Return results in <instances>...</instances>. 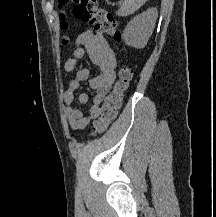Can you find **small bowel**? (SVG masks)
I'll use <instances>...</instances> for the list:
<instances>
[{"mask_svg": "<svg viewBox=\"0 0 216 217\" xmlns=\"http://www.w3.org/2000/svg\"><path fill=\"white\" fill-rule=\"evenodd\" d=\"M84 57H88L98 67L99 74L90 77L89 69L82 68L78 70L75 77L69 82L67 90L63 93L65 117L69 127L73 131L85 129L96 119L99 105L111 90L115 79L116 57L114 51L100 33L90 28L84 30L77 37L73 55L65 62V71L67 73L73 72L76 63ZM84 81H88L90 88L95 91L93 104L87 115H84L73 104L74 93ZM77 101L79 104H85L88 101V95L86 93H80Z\"/></svg>", "mask_w": 216, "mask_h": 217, "instance_id": "c3829d8e", "label": "small bowel"}]
</instances>
